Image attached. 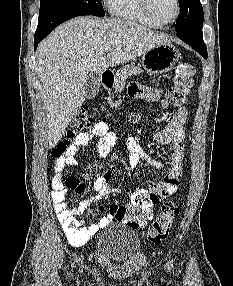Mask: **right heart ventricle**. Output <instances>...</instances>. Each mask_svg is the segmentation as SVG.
<instances>
[{
    "instance_id": "right-heart-ventricle-1",
    "label": "right heart ventricle",
    "mask_w": 233,
    "mask_h": 286,
    "mask_svg": "<svg viewBox=\"0 0 233 286\" xmlns=\"http://www.w3.org/2000/svg\"><path fill=\"white\" fill-rule=\"evenodd\" d=\"M111 15L124 20L156 27L145 15L140 0H105Z\"/></svg>"
}]
</instances>
